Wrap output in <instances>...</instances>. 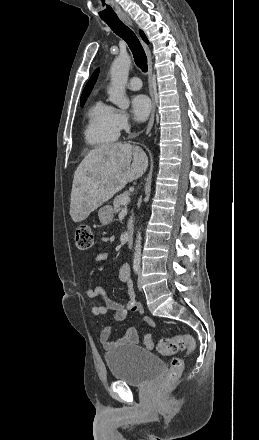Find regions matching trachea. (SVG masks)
I'll return each mask as SVG.
<instances>
[{"mask_svg":"<svg viewBox=\"0 0 259 440\" xmlns=\"http://www.w3.org/2000/svg\"><path fill=\"white\" fill-rule=\"evenodd\" d=\"M107 25L116 33L119 37H121L129 46L136 65L143 71L147 72V56L146 53L138 40L137 36L134 32L124 25L118 17L105 19L104 20Z\"/></svg>","mask_w":259,"mask_h":440,"instance_id":"1","label":"trachea"}]
</instances>
